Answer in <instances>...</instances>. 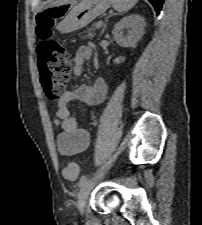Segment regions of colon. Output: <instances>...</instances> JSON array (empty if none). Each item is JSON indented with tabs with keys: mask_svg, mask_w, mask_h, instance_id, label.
<instances>
[{
	"mask_svg": "<svg viewBox=\"0 0 202 225\" xmlns=\"http://www.w3.org/2000/svg\"><path fill=\"white\" fill-rule=\"evenodd\" d=\"M57 8L38 12L36 15V34L40 38L38 52L40 54V82L48 101L61 98L70 80L72 61L62 44L50 38L51 28L58 20ZM64 175L68 179H76L79 167L70 163L64 167Z\"/></svg>",
	"mask_w": 202,
	"mask_h": 225,
	"instance_id": "obj_1",
	"label": "colon"
}]
</instances>
